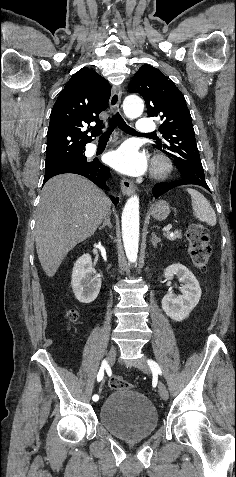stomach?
Instances as JSON below:
<instances>
[{"label":"stomach","instance_id":"1","mask_svg":"<svg viewBox=\"0 0 236 477\" xmlns=\"http://www.w3.org/2000/svg\"><path fill=\"white\" fill-rule=\"evenodd\" d=\"M170 213L169 204L164 201H158L152 208H151V215L155 220L162 221L165 220Z\"/></svg>","mask_w":236,"mask_h":477}]
</instances>
